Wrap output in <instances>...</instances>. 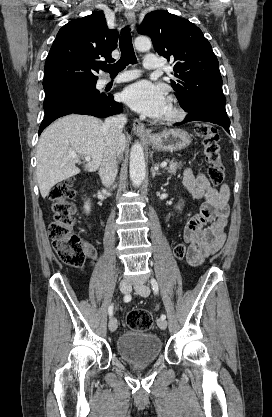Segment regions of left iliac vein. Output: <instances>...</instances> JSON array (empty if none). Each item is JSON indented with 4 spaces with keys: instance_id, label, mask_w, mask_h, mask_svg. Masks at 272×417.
Wrapping results in <instances>:
<instances>
[{
    "instance_id": "4c4485c4",
    "label": "left iliac vein",
    "mask_w": 272,
    "mask_h": 417,
    "mask_svg": "<svg viewBox=\"0 0 272 417\" xmlns=\"http://www.w3.org/2000/svg\"><path fill=\"white\" fill-rule=\"evenodd\" d=\"M135 291L142 297H147L150 294V288L149 286L139 283L134 286ZM157 325L160 329L165 330L167 327V321L165 319H158Z\"/></svg>"
}]
</instances>
